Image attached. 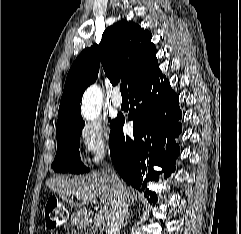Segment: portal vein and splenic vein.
<instances>
[{
  "instance_id": "18ae733b",
  "label": "portal vein and splenic vein",
  "mask_w": 241,
  "mask_h": 234,
  "mask_svg": "<svg viewBox=\"0 0 241 234\" xmlns=\"http://www.w3.org/2000/svg\"><path fill=\"white\" fill-rule=\"evenodd\" d=\"M85 203H96L95 200L88 199V197L84 198ZM104 223V217L100 214L95 215L94 217V226L95 227H101V225Z\"/></svg>"
}]
</instances>
